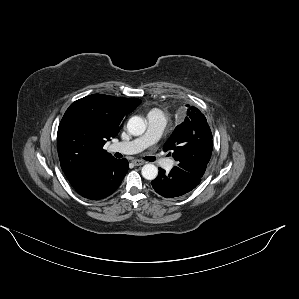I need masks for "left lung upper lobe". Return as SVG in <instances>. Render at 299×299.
<instances>
[{
  "label": "left lung upper lobe",
  "instance_id": "left-lung-upper-lobe-1",
  "mask_svg": "<svg viewBox=\"0 0 299 299\" xmlns=\"http://www.w3.org/2000/svg\"><path fill=\"white\" fill-rule=\"evenodd\" d=\"M187 107V117L175 128L163 149L172 151L179 167L203 177L212 154V133L205 116L197 108Z\"/></svg>",
  "mask_w": 299,
  "mask_h": 299
}]
</instances>
